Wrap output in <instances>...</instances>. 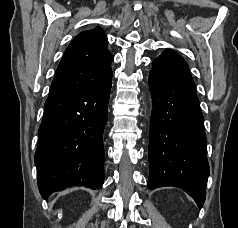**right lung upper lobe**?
Wrapping results in <instances>:
<instances>
[{
	"instance_id": "right-lung-upper-lobe-1",
	"label": "right lung upper lobe",
	"mask_w": 238,
	"mask_h": 228,
	"mask_svg": "<svg viewBox=\"0 0 238 228\" xmlns=\"http://www.w3.org/2000/svg\"><path fill=\"white\" fill-rule=\"evenodd\" d=\"M113 60L101 28L78 34L67 47L54 76L49 95L90 86L102 80Z\"/></svg>"
}]
</instances>
